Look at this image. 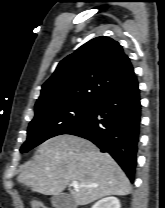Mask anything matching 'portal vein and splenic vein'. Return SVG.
I'll return each mask as SVG.
<instances>
[{"mask_svg": "<svg viewBox=\"0 0 165 208\" xmlns=\"http://www.w3.org/2000/svg\"><path fill=\"white\" fill-rule=\"evenodd\" d=\"M74 188L85 187L84 185H80L77 181H73L71 184ZM88 187H96V185L88 186Z\"/></svg>", "mask_w": 165, "mask_h": 208, "instance_id": "obj_1", "label": "portal vein and splenic vein"}]
</instances>
